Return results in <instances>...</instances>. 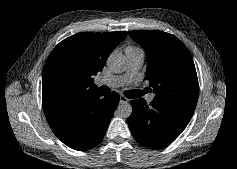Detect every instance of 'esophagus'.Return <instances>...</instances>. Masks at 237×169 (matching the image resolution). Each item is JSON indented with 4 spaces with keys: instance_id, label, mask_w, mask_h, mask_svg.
<instances>
[{
    "instance_id": "1",
    "label": "esophagus",
    "mask_w": 237,
    "mask_h": 169,
    "mask_svg": "<svg viewBox=\"0 0 237 169\" xmlns=\"http://www.w3.org/2000/svg\"><path fill=\"white\" fill-rule=\"evenodd\" d=\"M129 101L128 98H126L125 96L123 95H120V103H127Z\"/></svg>"
}]
</instances>
